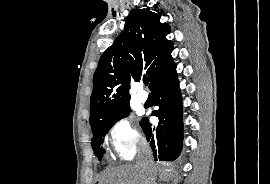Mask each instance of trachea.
<instances>
[{
	"label": "trachea",
	"mask_w": 270,
	"mask_h": 184,
	"mask_svg": "<svg viewBox=\"0 0 270 184\" xmlns=\"http://www.w3.org/2000/svg\"><path fill=\"white\" fill-rule=\"evenodd\" d=\"M143 82H144L145 85H148V83H149L148 78L147 79H144Z\"/></svg>",
	"instance_id": "1"
}]
</instances>
